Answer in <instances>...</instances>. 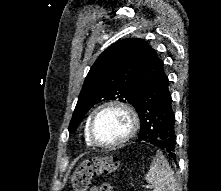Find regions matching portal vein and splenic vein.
<instances>
[{
  "label": "portal vein and splenic vein",
  "instance_id": "1",
  "mask_svg": "<svg viewBox=\"0 0 221 191\" xmlns=\"http://www.w3.org/2000/svg\"><path fill=\"white\" fill-rule=\"evenodd\" d=\"M143 187H144L145 189H149V188H150L148 185H143Z\"/></svg>",
  "mask_w": 221,
  "mask_h": 191
}]
</instances>
